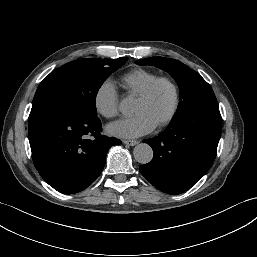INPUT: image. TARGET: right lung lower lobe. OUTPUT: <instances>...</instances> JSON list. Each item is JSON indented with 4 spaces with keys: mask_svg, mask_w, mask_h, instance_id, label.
<instances>
[{
    "mask_svg": "<svg viewBox=\"0 0 257 257\" xmlns=\"http://www.w3.org/2000/svg\"><path fill=\"white\" fill-rule=\"evenodd\" d=\"M100 132L98 117L58 111L30 112L29 142L41 177L64 194L87 188L102 172L109 148L121 143Z\"/></svg>",
    "mask_w": 257,
    "mask_h": 257,
    "instance_id": "obj_1",
    "label": "right lung lower lobe"
}]
</instances>
